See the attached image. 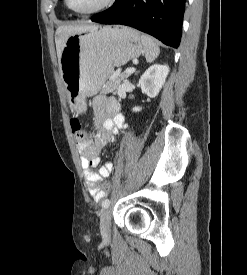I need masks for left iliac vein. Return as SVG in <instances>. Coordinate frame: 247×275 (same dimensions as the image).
I'll return each mask as SVG.
<instances>
[{"label": "left iliac vein", "mask_w": 247, "mask_h": 275, "mask_svg": "<svg viewBox=\"0 0 247 275\" xmlns=\"http://www.w3.org/2000/svg\"><path fill=\"white\" fill-rule=\"evenodd\" d=\"M100 232L103 238L108 239L111 235V211L106 209L100 217Z\"/></svg>", "instance_id": "4c4485c4"}]
</instances>
